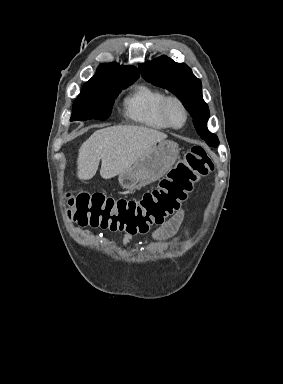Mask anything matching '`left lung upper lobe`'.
Listing matches in <instances>:
<instances>
[{
	"mask_svg": "<svg viewBox=\"0 0 283 384\" xmlns=\"http://www.w3.org/2000/svg\"><path fill=\"white\" fill-rule=\"evenodd\" d=\"M139 69L146 81L175 94L191 114L196 131L201 138L209 146H218L217 136L207 128L209 108L202 98L201 81L193 75L186 64L161 56L140 64Z\"/></svg>",
	"mask_w": 283,
	"mask_h": 384,
	"instance_id": "1",
	"label": "left lung upper lobe"
}]
</instances>
